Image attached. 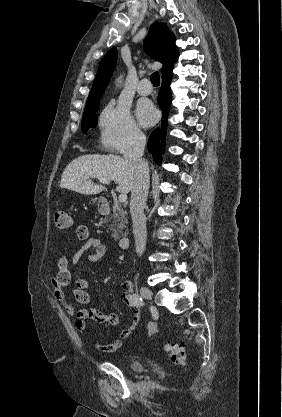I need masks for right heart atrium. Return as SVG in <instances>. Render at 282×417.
Instances as JSON below:
<instances>
[{"instance_id":"right-heart-atrium-1","label":"right heart atrium","mask_w":282,"mask_h":417,"mask_svg":"<svg viewBox=\"0 0 282 417\" xmlns=\"http://www.w3.org/2000/svg\"><path fill=\"white\" fill-rule=\"evenodd\" d=\"M103 144L119 153L137 149L143 141V133L129 113L128 108L111 101L100 120Z\"/></svg>"}]
</instances>
